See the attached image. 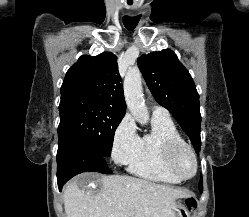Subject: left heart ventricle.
I'll return each mask as SVG.
<instances>
[{"instance_id":"obj_1","label":"left heart ventricle","mask_w":249,"mask_h":217,"mask_svg":"<svg viewBox=\"0 0 249 217\" xmlns=\"http://www.w3.org/2000/svg\"><path fill=\"white\" fill-rule=\"evenodd\" d=\"M178 167L183 173H189L192 170V159L188 154H183L178 160Z\"/></svg>"}]
</instances>
